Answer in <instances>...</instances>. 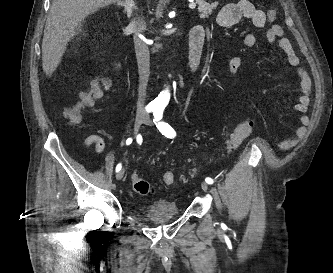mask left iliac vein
Here are the masks:
<instances>
[{
  "instance_id": "1",
  "label": "left iliac vein",
  "mask_w": 333,
  "mask_h": 273,
  "mask_svg": "<svg viewBox=\"0 0 333 273\" xmlns=\"http://www.w3.org/2000/svg\"><path fill=\"white\" fill-rule=\"evenodd\" d=\"M144 124H148V125H153V122L152 120L150 119V116L149 115H145L143 121H142ZM201 188L204 190V191H208V184L205 183V182H201Z\"/></svg>"
}]
</instances>
